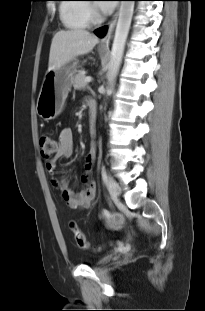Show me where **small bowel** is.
<instances>
[{"label": "small bowel", "instance_id": "obj_1", "mask_svg": "<svg viewBox=\"0 0 205 311\" xmlns=\"http://www.w3.org/2000/svg\"><path fill=\"white\" fill-rule=\"evenodd\" d=\"M90 108V103H89ZM91 111V110H90ZM94 113L90 114L91 128L90 132L94 134ZM74 153V139L73 132L70 128H64L59 134V150L55 155L45 163L46 170L51 175L56 173V163L60 159H69ZM85 169L87 174L83 175L81 180L85 184V188L79 192L74 193L68 185V181L63 176H56L52 179L53 186L60 192L62 199L67 203V205L72 209L86 208L90 206L96 195V183L89 176L94 162L96 160V149L95 147H90L86 154Z\"/></svg>", "mask_w": 205, "mask_h": 311}]
</instances>
